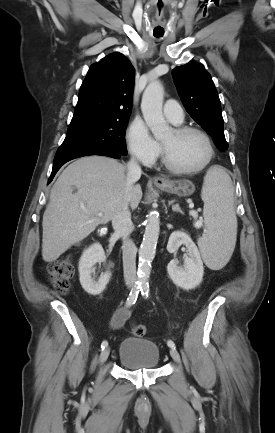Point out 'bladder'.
<instances>
[{
  "label": "bladder",
  "mask_w": 275,
  "mask_h": 433,
  "mask_svg": "<svg viewBox=\"0 0 275 433\" xmlns=\"http://www.w3.org/2000/svg\"><path fill=\"white\" fill-rule=\"evenodd\" d=\"M159 359L158 346L148 339L128 337L120 344L118 361L129 369H154L158 366Z\"/></svg>",
  "instance_id": "1"
}]
</instances>
